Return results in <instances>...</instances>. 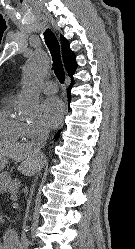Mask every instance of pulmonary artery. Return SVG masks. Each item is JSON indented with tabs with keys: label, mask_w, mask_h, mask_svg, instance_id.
<instances>
[{
	"label": "pulmonary artery",
	"mask_w": 135,
	"mask_h": 249,
	"mask_svg": "<svg viewBox=\"0 0 135 249\" xmlns=\"http://www.w3.org/2000/svg\"><path fill=\"white\" fill-rule=\"evenodd\" d=\"M41 89L46 94H54L58 91L57 84L54 81H47L42 86Z\"/></svg>",
	"instance_id": "pulmonary-artery-1"
}]
</instances>
